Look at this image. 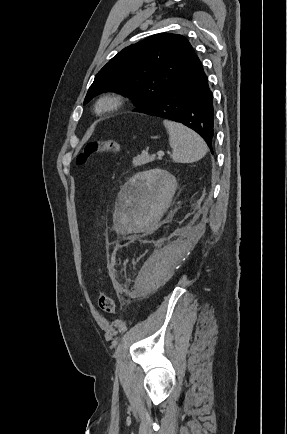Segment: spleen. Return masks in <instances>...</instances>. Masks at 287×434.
Listing matches in <instances>:
<instances>
[{
	"label": "spleen",
	"mask_w": 287,
	"mask_h": 434,
	"mask_svg": "<svg viewBox=\"0 0 287 434\" xmlns=\"http://www.w3.org/2000/svg\"><path fill=\"white\" fill-rule=\"evenodd\" d=\"M163 124L169 134L173 161L192 163L206 155L208 148L205 141L193 130L169 120H164Z\"/></svg>",
	"instance_id": "spleen-1"
}]
</instances>
